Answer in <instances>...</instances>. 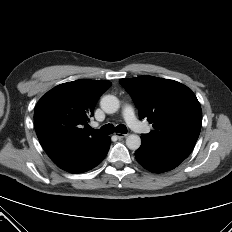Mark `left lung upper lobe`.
Wrapping results in <instances>:
<instances>
[{
	"mask_svg": "<svg viewBox=\"0 0 232 232\" xmlns=\"http://www.w3.org/2000/svg\"><path fill=\"white\" fill-rule=\"evenodd\" d=\"M119 82L133 98L140 118L153 123L154 130L144 135L155 140L197 141L202 111L188 87L174 80L145 75Z\"/></svg>",
	"mask_w": 232,
	"mask_h": 232,
	"instance_id": "obj_1",
	"label": "left lung upper lobe"
}]
</instances>
